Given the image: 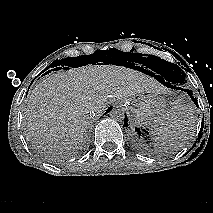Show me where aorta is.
<instances>
[{"mask_svg":"<svg viewBox=\"0 0 213 213\" xmlns=\"http://www.w3.org/2000/svg\"><path fill=\"white\" fill-rule=\"evenodd\" d=\"M110 117L117 122H123L125 119V112L121 108H114L110 111Z\"/></svg>","mask_w":213,"mask_h":213,"instance_id":"aorta-1","label":"aorta"}]
</instances>
